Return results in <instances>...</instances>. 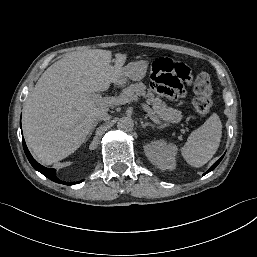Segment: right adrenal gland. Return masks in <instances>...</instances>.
Segmentation results:
<instances>
[{
	"label": "right adrenal gland",
	"mask_w": 257,
	"mask_h": 257,
	"mask_svg": "<svg viewBox=\"0 0 257 257\" xmlns=\"http://www.w3.org/2000/svg\"><path fill=\"white\" fill-rule=\"evenodd\" d=\"M98 123H99L98 120L95 121V123H94L93 126H92V129H91L90 133L88 134V137H87L86 141H87L88 138L92 135V132L94 131V129L96 128V126L98 125Z\"/></svg>",
	"instance_id": "right-adrenal-gland-1"
}]
</instances>
